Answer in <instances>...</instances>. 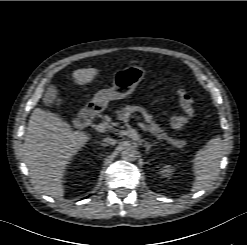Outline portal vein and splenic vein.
I'll return each mask as SVG.
<instances>
[{"label": "portal vein and splenic vein", "instance_id": "obj_1", "mask_svg": "<svg viewBox=\"0 0 247 245\" xmlns=\"http://www.w3.org/2000/svg\"><path fill=\"white\" fill-rule=\"evenodd\" d=\"M138 125L141 127V129L144 131V132H148V129L147 127L143 124V123H138ZM106 129V125L104 123H100L98 125L95 126V130L97 132H104Z\"/></svg>", "mask_w": 247, "mask_h": 245}]
</instances>
